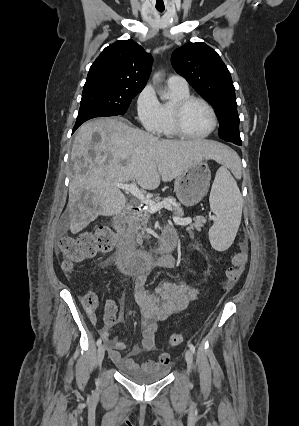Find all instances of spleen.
I'll list each match as a JSON object with an SVG mask.
<instances>
[{
  "label": "spleen",
  "instance_id": "spleen-1",
  "mask_svg": "<svg viewBox=\"0 0 299 426\" xmlns=\"http://www.w3.org/2000/svg\"><path fill=\"white\" fill-rule=\"evenodd\" d=\"M209 202L216 215V220L209 230V240L215 250L225 251L235 239L242 216V196L225 165L216 173Z\"/></svg>",
  "mask_w": 299,
  "mask_h": 426
}]
</instances>
